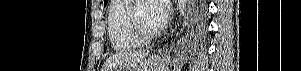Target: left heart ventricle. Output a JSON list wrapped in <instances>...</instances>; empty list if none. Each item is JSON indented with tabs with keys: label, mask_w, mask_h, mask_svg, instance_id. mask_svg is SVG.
Returning a JSON list of instances; mask_svg holds the SVG:
<instances>
[{
	"label": "left heart ventricle",
	"mask_w": 301,
	"mask_h": 71,
	"mask_svg": "<svg viewBox=\"0 0 301 71\" xmlns=\"http://www.w3.org/2000/svg\"><path fill=\"white\" fill-rule=\"evenodd\" d=\"M136 17L145 31L152 32L158 30L150 1H142L138 4Z\"/></svg>",
	"instance_id": "1"
}]
</instances>
